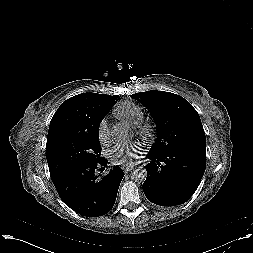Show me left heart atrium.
<instances>
[{
	"label": "left heart atrium",
	"mask_w": 253,
	"mask_h": 253,
	"mask_svg": "<svg viewBox=\"0 0 253 253\" xmlns=\"http://www.w3.org/2000/svg\"><path fill=\"white\" fill-rule=\"evenodd\" d=\"M142 151L143 145L139 142L118 143L112 148L110 157L114 163L129 165Z\"/></svg>",
	"instance_id": "39dd6f15"
}]
</instances>
